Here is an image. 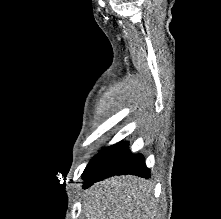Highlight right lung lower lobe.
I'll return each instance as SVG.
<instances>
[{"label": "right lung lower lobe", "instance_id": "right-lung-lower-lobe-1", "mask_svg": "<svg viewBox=\"0 0 221 219\" xmlns=\"http://www.w3.org/2000/svg\"><path fill=\"white\" fill-rule=\"evenodd\" d=\"M121 174L150 177V170L146 167L143 156L134 155L128 151L127 142L117 143L103 149L89 162L83 173V188L104 178Z\"/></svg>", "mask_w": 221, "mask_h": 219}]
</instances>
